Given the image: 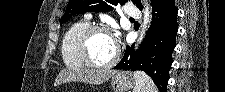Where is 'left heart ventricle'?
<instances>
[{
    "instance_id": "obj_1",
    "label": "left heart ventricle",
    "mask_w": 225,
    "mask_h": 92,
    "mask_svg": "<svg viewBox=\"0 0 225 92\" xmlns=\"http://www.w3.org/2000/svg\"><path fill=\"white\" fill-rule=\"evenodd\" d=\"M116 46L113 37L106 32L92 35L88 43V53L98 64L109 62L115 55Z\"/></svg>"
}]
</instances>
